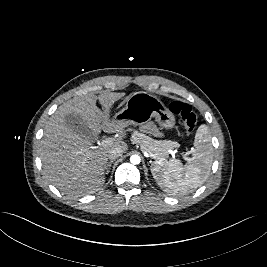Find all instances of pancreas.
<instances>
[{
  "label": "pancreas",
  "mask_w": 267,
  "mask_h": 267,
  "mask_svg": "<svg viewBox=\"0 0 267 267\" xmlns=\"http://www.w3.org/2000/svg\"><path fill=\"white\" fill-rule=\"evenodd\" d=\"M131 141L139 144L142 151L152 154L154 159L167 158L168 151L178 146L177 142L171 140H155L138 131L133 132Z\"/></svg>",
  "instance_id": "obj_1"
}]
</instances>
